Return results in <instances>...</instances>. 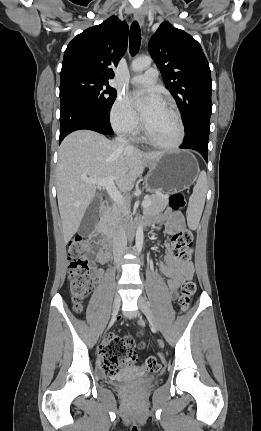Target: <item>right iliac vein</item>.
I'll return each mask as SVG.
<instances>
[{"label":"right iliac vein","mask_w":261,"mask_h":431,"mask_svg":"<svg viewBox=\"0 0 261 431\" xmlns=\"http://www.w3.org/2000/svg\"><path fill=\"white\" fill-rule=\"evenodd\" d=\"M120 303H121V299L120 296L118 294H116L115 298H114V303H113V307H112V312H111V318H115L118 314L119 311V307H120Z\"/></svg>","instance_id":"1"}]
</instances>
